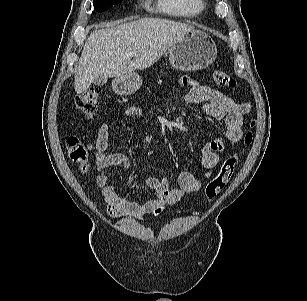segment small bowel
Instances as JSON below:
<instances>
[{
    "mask_svg": "<svg viewBox=\"0 0 307 301\" xmlns=\"http://www.w3.org/2000/svg\"><path fill=\"white\" fill-rule=\"evenodd\" d=\"M186 83V81H185ZM186 102L192 107L202 109L215 120L222 121L225 126V134L222 138L207 143L201 156V164L205 169L204 178L209 179L219 162V153L226 146L237 144L242 138V125L244 116L250 111L248 102H235L222 92L206 85L194 84L190 87ZM125 115L139 117L142 111L137 106L127 107ZM110 122H103L96 135V184L102 190L106 202V211L112 217H125L142 220L146 215L158 216L164 208L178 203L185 194L195 193L200 189V182L191 171H184L179 176L178 188H171L166 178L150 177L146 180V186L156 192L154 199L135 202L124 196L112 185L108 184V175L104 170L118 166L130 168L131 161L127 155L121 152L108 154Z\"/></svg>",
    "mask_w": 307,
    "mask_h": 301,
    "instance_id": "small-bowel-1",
    "label": "small bowel"
}]
</instances>
